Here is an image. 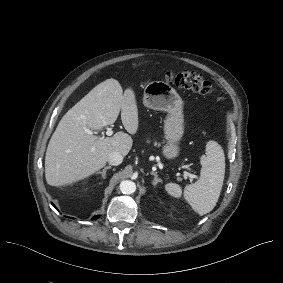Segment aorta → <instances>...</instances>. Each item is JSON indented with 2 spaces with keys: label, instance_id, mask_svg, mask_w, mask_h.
Segmentation results:
<instances>
[{
  "label": "aorta",
  "instance_id": "obj_1",
  "mask_svg": "<svg viewBox=\"0 0 283 283\" xmlns=\"http://www.w3.org/2000/svg\"><path fill=\"white\" fill-rule=\"evenodd\" d=\"M120 191L123 194H133L136 191V184L131 180H123L120 183Z\"/></svg>",
  "mask_w": 283,
  "mask_h": 283
}]
</instances>
